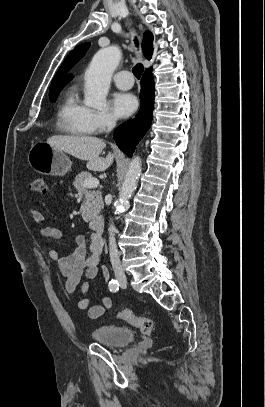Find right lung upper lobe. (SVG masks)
Masks as SVG:
<instances>
[{"label": "right lung upper lobe", "instance_id": "1", "mask_svg": "<svg viewBox=\"0 0 265 407\" xmlns=\"http://www.w3.org/2000/svg\"><path fill=\"white\" fill-rule=\"evenodd\" d=\"M89 47L90 43H84L77 46L69 53L57 74L53 78L51 86L65 83L67 84L70 80H72L73 76L67 75V72L84 57ZM142 50L144 56L150 60L153 53V36L150 32L144 33Z\"/></svg>", "mask_w": 265, "mask_h": 407}]
</instances>
